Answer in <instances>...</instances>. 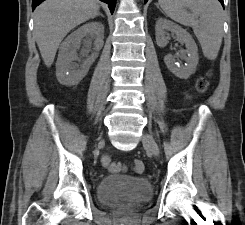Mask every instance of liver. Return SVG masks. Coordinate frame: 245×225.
I'll use <instances>...</instances> for the list:
<instances>
[{
	"mask_svg": "<svg viewBox=\"0 0 245 225\" xmlns=\"http://www.w3.org/2000/svg\"><path fill=\"white\" fill-rule=\"evenodd\" d=\"M96 0H46L34 12V33L44 64L50 67L63 38L76 26L98 16Z\"/></svg>",
	"mask_w": 245,
	"mask_h": 225,
	"instance_id": "liver-1",
	"label": "liver"
}]
</instances>
